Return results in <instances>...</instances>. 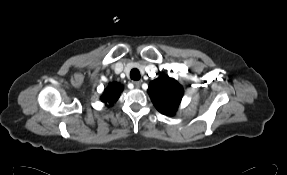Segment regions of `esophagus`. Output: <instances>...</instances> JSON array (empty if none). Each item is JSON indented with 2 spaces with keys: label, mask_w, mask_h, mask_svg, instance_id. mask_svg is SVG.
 I'll return each instance as SVG.
<instances>
[{
  "label": "esophagus",
  "mask_w": 287,
  "mask_h": 175,
  "mask_svg": "<svg viewBox=\"0 0 287 175\" xmlns=\"http://www.w3.org/2000/svg\"><path fill=\"white\" fill-rule=\"evenodd\" d=\"M142 81H134L133 84L136 88H139L141 86Z\"/></svg>",
  "instance_id": "esophagus-1"
}]
</instances>
